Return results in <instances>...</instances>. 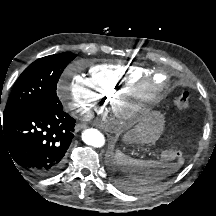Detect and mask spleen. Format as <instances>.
<instances>
[{"mask_svg": "<svg viewBox=\"0 0 216 216\" xmlns=\"http://www.w3.org/2000/svg\"><path fill=\"white\" fill-rule=\"evenodd\" d=\"M115 160L121 170L139 187L164 179L175 171L174 166L155 160H140L125 155L120 150L115 153Z\"/></svg>", "mask_w": 216, "mask_h": 216, "instance_id": "spleen-1", "label": "spleen"}]
</instances>
